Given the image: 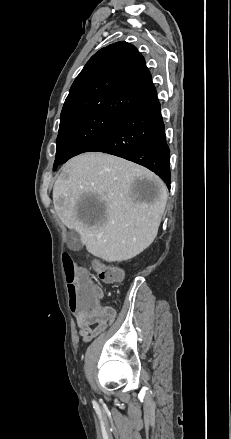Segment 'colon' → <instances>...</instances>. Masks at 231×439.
Instances as JSON below:
<instances>
[{
	"label": "colon",
	"mask_w": 231,
	"mask_h": 439,
	"mask_svg": "<svg viewBox=\"0 0 231 439\" xmlns=\"http://www.w3.org/2000/svg\"><path fill=\"white\" fill-rule=\"evenodd\" d=\"M63 266L69 293L68 312L85 313L86 320H93L94 312L87 310L99 309L101 289L92 282L90 274L77 270L70 255L64 254ZM94 268L105 283H115L122 278L121 270L107 263L95 261Z\"/></svg>",
	"instance_id": "5ec220e1"
}]
</instances>
